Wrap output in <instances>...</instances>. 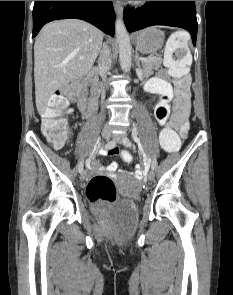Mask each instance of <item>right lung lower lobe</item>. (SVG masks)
Listing matches in <instances>:
<instances>
[{"instance_id": "right-lung-lower-lobe-1", "label": "right lung lower lobe", "mask_w": 233, "mask_h": 295, "mask_svg": "<svg viewBox=\"0 0 233 295\" xmlns=\"http://www.w3.org/2000/svg\"><path fill=\"white\" fill-rule=\"evenodd\" d=\"M66 18L82 19L111 36L115 34L112 1H35L33 37L47 22Z\"/></svg>"}]
</instances>
